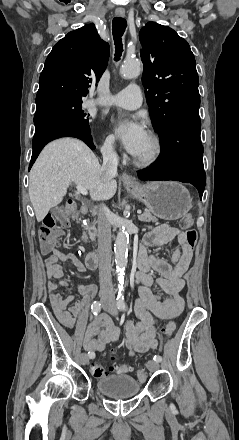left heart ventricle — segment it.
<instances>
[{"label": "left heart ventricle", "mask_w": 239, "mask_h": 440, "mask_svg": "<svg viewBox=\"0 0 239 440\" xmlns=\"http://www.w3.org/2000/svg\"><path fill=\"white\" fill-rule=\"evenodd\" d=\"M152 149H153L152 142H151L149 136H147L142 148L140 149V151L137 155L138 156H147L152 152Z\"/></svg>", "instance_id": "obj_1"}]
</instances>
